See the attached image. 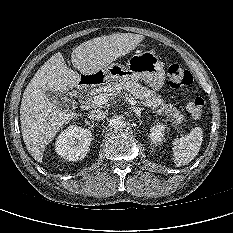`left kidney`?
<instances>
[{
	"label": "left kidney",
	"instance_id": "1",
	"mask_svg": "<svg viewBox=\"0 0 233 233\" xmlns=\"http://www.w3.org/2000/svg\"><path fill=\"white\" fill-rule=\"evenodd\" d=\"M165 125L157 123L150 129V139L154 144H160L164 140Z\"/></svg>",
	"mask_w": 233,
	"mask_h": 233
}]
</instances>
